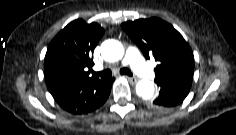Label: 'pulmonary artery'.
I'll use <instances>...</instances> for the list:
<instances>
[{"label": "pulmonary artery", "mask_w": 236, "mask_h": 135, "mask_svg": "<svg viewBox=\"0 0 236 135\" xmlns=\"http://www.w3.org/2000/svg\"><path fill=\"white\" fill-rule=\"evenodd\" d=\"M122 64H130L134 71L144 78L151 79L155 76L153 70L146 65L139 50L134 46H130L127 49L126 57Z\"/></svg>", "instance_id": "e3ab8cb5"}]
</instances>
